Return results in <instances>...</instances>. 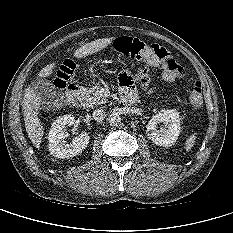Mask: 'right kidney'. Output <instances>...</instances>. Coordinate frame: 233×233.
Masks as SVG:
<instances>
[{
  "instance_id": "obj_1",
  "label": "right kidney",
  "mask_w": 233,
  "mask_h": 233,
  "mask_svg": "<svg viewBox=\"0 0 233 233\" xmlns=\"http://www.w3.org/2000/svg\"><path fill=\"white\" fill-rule=\"evenodd\" d=\"M75 118L71 114L58 117L52 124L48 140L49 151L57 158H71L81 153L89 144L90 136L86 132H81L72 142L67 143L64 139L68 136L65 132L67 126L73 125Z\"/></svg>"
}]
</instances>
